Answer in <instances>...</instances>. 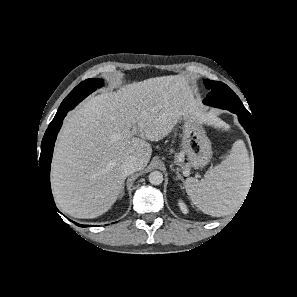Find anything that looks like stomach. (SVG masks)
I'll return each mask as SVG.
<instances>
[{
	"label": "stomach",
	"mask_w": 297,
	"mask_h": 297,
	"mask_svg": "<svg viewBox=\"0 0 297 297\" xmlns=\"http://www.w3.org/2000/svg\"><path fill=\"white\" fill-rule=\"evenodd\" d=\"M212 154L211 142L202 123L197 118H185L178 160L186 159L188 168L199 169L210 162Z\"/></svg>",
	"instance_id": "1"
}]
</instances>
